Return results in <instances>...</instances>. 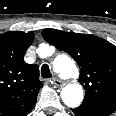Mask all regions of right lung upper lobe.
<instances>
[{"label": "right lung upper lobe", "instance_id": "right-lung-upper-lobe-1", "mask_svg": "<svg viewBox=\"0 0 116 116\" xmlns=\"http://www.w3.org/2000/svg\"><path fill=\"white\" fill-rule=\"evenodd\" d=\"M33 39V32L0 35V116H26L36 104L39 69L23 60Z\"/></svg>", "mask_w": 116, "mask_h": 116}]
</instances>
